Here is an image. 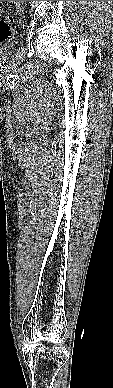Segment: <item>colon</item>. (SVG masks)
Here are the masks:
<instances>
[{
	"mask_svg": "<svg viewBox=\"0 0 113 388\" xmlns=\"http://www.w3.org/2000/svg\"><path fill=\"white\" fill-rule=\"evenodd\" d=\"M13 21V16L8 14L5 17H0V42L7 40L11 35L10 22Z\"/></svg>",
	"mask_w": 113,
	"mask_h": 388,
	"instance_id": "obj_1",
	"label": "colon"
}]
</instances>
